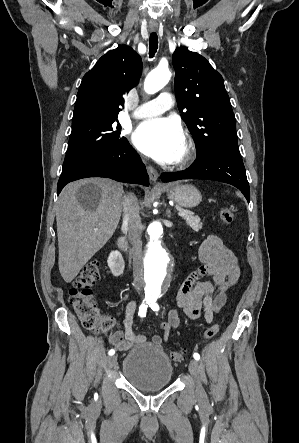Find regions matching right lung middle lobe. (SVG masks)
<instances>
[{
    "label": "right lung middle lobe",
    "instance_id": "right-lung-middle-lobe-1",
    "mask_svg": "<svg viewBox=\"0 0 299 443\" xmlns=\"http://www.w3.org/2000/svg\"><path fill=\"white\" fill-rule=\"evenodd\" d=\"M117 117L88 118L72 123V132L62 172L94 156L119 150L128 143L120 135Z\"/></svg>",
    "mask_w": 299,
    "mask_h": 443
}]
</instances>
